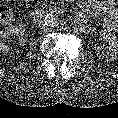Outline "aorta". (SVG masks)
<instances>
[{
	"instance_id": "obj_1",
	"label": "aorta",
	"mask_w": 118,
	"mask_h": 118,
	"mask_svg": "<svg viewBox=\"0 0 118 118\" xmlns=\"http://www.w3.org/2000/svg\"><path fill=\"white\" fill-rule=\"evenodd\" d=\"M44 23L47 26L55 27L59 24V17L55 14H47L44 18Z\"/></svg>"
}]
</instances>
